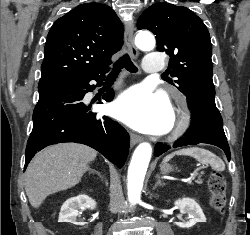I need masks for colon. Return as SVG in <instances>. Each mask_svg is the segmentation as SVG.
Here are the masks:
<instances>
[{
  "label": "colon",
  "instance_id": "obj_1",
  "mask_svg": "<svg viewBox=\"0 0 250 235\" xmlns=\"http://www.w3.org/2000/svg\"><path fill=\"white\" fill-rule=\"evenodd\" d=\"M226 180L221 173H212L208 179V189L211 195L210 201L216 211H221L226 203Z\"/></svg>",
  "mask_w": 250,
  "mask_h": 235
}]
</instances>
